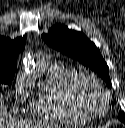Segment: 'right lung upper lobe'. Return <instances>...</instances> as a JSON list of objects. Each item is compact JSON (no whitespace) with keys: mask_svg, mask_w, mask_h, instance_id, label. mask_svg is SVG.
<instances>
[{"mask_svg":"<svg viewBox=\"0 0 125 128\" xmlns=\"http://www.w3.org/2000/svg\"><path fill=\"white\" fill-rule=\"evenodd\" d=\"M24 37L14 40L0 36V67H14L17 69V56L25 48Z\"/></svg>","mask_w":125,"mask_h":128,"instance_id":"cb5924a9","label":"right lung upper lobe"}]
</instances>
